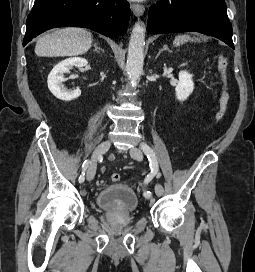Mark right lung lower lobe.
Listing matches in <instances>:
<instances>
[{
	"label": "right lung lower lobe",
	"instance_id": "98d812e1",
	"mask_svg": "<svg viewBox=\"0 0 255 272\" xmlns=\"http://www.w3.org/2000/svg\"><path fill=\"white\" fill-rule=\"evenodd\" d=\"M130 14L125 0H35L27 17L23 46L49 29L64 26L117 37L126 33Z\"/></svg>",
	"mask_w": 255,
	"mask_h": 272
}]
</instances>
